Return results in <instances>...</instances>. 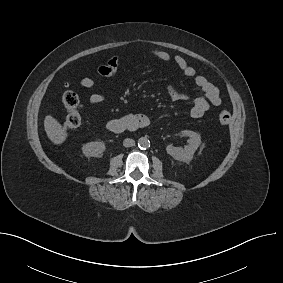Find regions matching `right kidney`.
I'll use <instances>...</instances> for the list:
<instances>
[{
    "mask_svg": "<svg viewBox=\"0 0 283 283\" xmlns=\"http://www.w3.org/2000/svg\"><path fill=\"white\" fill-rule=\"evenodd\" d=\"M106 147L103 142H89L83 145L82 152L86 157H99Z\"/></svg>",
    "mask_w": 283,
    "mask_h": 283,
    "instance_id": "1",
    "label": "right kidney"
}]
</instances>
